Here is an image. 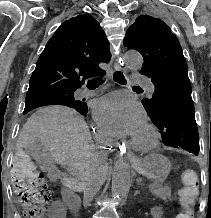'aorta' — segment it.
I'll return each mask as SVG.
<instances>
[{
    "label": "aorta",
    "instance_id": "1",
    "mask_svg": "<svg viewBox=\"0 0 211 218\" xmlns=\"http://www.w3.org/2000/svg\"><path fill=\"white\" fill-rule=\"evenodd\" d=\"M126 65L132 70H138L142 67V56L136 51H128L124 56ZM131 161L130 152L120 154L115 162L112 175L111 193L115 199L126 197L131 185Z\"/></svg>",
    "mask_w": 211,
    "mask_h": 218
}]
</instances>
